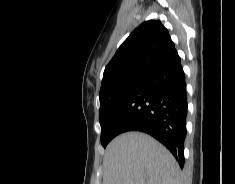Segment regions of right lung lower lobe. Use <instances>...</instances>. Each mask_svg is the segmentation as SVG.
<instances>
[{
    "label": "right lung lower lobe",
    "instance_id": "obj_1",
    "mask_svg": "<svg viewBox=\"0 0 235 184\" xmlns=\"http://www.w3.org/2000/svg\"><path fill=\"white\" fill-rule=\"evenodd\" d=\"M186 115L185 74L176 52L152 69L133 90L111 131L116 136L128 131L150 134L171 151L183 168Z\"/></svg>",
    "mask_w": 235,
    "mask_h": 184
}]
</instances>
